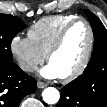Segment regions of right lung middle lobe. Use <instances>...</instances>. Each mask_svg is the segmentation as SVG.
<instances>
[{
	"mask_svg": "<svg viewBox=\"0 0 107 107\" xmlns=\"http://www.w3.org/2000/svg\"><path fill=\"white\" fill-rule=\"evenodd\" d=\"M26 28V25L17 17L0 14V62H13L11 41L16 34Z\"/></svg>",
	"mask_w": 107,
	"mask_h": 107,
	"instance_id": "dd1d6c3e",
	"label": "right lung middle lobe"
}]
</instances>
